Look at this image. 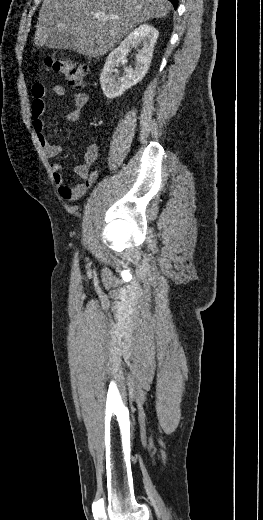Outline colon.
<instances>
[{
  "label": "colon",
  "instance_id": "5ec220e1",
  "mask_svg": "<svg viewBox=\"0 0 263 520\" xmlns=\"http://www.w3.org/2000/svg\"><path fill=\"white\" fill-rule=\"evenodd\" d=\"M44 63L47 67L64 77L71 87L79 89L83 86L88 72L86 65L76 63L68 58L53 56H47L44 59Z\"/></svg>",
  "mask_w": 263,
  "mask_h": 520
}]
</instances>
